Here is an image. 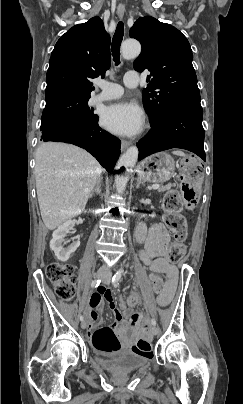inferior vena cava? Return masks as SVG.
<instances>
[{
	"label": "inferior vena cava",
	"instance_id": "1",
	"mask_svg": "<svg viewBox=\"0 0 243 404\" xmlns=\"http://www.w3.org/2000/svg\"><path fill=\"white\" fill-rule=\"evenodd\" d=\"M107 267V266H106ZM108 269V268H107ZM108 271V270H107ZM98 272L100 273V274H103L104 272H105V267L104 266H101L99 269H98Z\"/></svg>",
	"mask_w": 243,
	"mask_h": 404
}]
</instances>
